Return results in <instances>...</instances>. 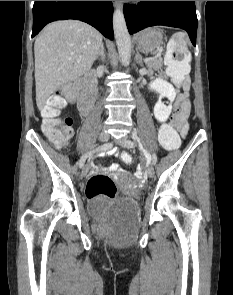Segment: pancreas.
<instances>
[{
  "label": "pancreas",
  "mask_w": 233,
  "mask_h": 295,
  "mask_svg": "<svg viewBox=\"0 0 233 295\" xmlns=\"http://www.w3.org/2000/svg\"><path fill=\"white\" fill-rule=\"evenodd\" d=\"M146 66L149 69V73L153 74V70H160L163 66V59L162 58H158V59H153L150 61L146 62Z\"/></svg>",
  "instance_id": "1"
}]
</instances>
